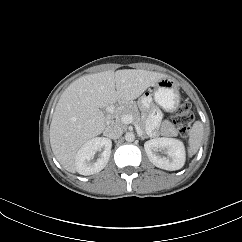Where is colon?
Instances as JSON below:
<instances>
[{"mask_svg": "<svg viewBox=\"0 0 242 242\" xmlns=\"http://www.w3.org/2000/svg\"><path fill=\"white\" fill-rule=\"evenodd\" d=\"M190 108V103L187 100H181L177 108V114L174 117V124L178 132L183 136H187L191 130L193 116Z\"/></svg>", "mask_w": 242, "mask_h": 242, "instance_id": "1", "label": "colon"}]
</instances>
